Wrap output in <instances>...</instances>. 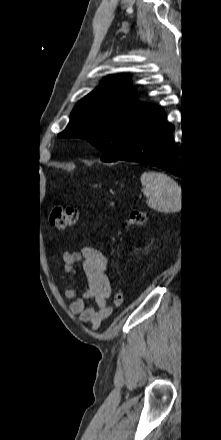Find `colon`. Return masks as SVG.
<instances>
[{
    "mask_svg": "<svg viewBox=\"0 0 221 440\" xmlns=\"http://www.w3.org/2000/svg\"><path fill=\"white\" fill-rule=\"evenodd\" d=\"M147 219V213L145 211H132L125 220L126 226H139L143 225ZM79 220V212L74 207H62L55 206L49 214V223L51 226L65 229L73 227ZM124 294L118 290L113 294V305L116 308H120L124 304Z\"/></svg>",
    "mask_w": 221,
    "mask_h": 440,
    "instance_id": "1",
    "label": "colon"
}]
</instances>
